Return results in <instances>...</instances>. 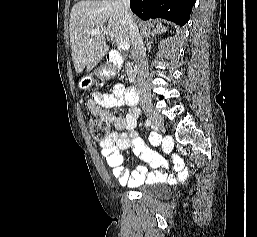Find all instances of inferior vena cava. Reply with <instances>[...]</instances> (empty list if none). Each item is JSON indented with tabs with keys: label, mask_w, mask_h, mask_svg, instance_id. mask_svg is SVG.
<instances>
[{
	"label": "inferior vena cava",
	"mask_w": 257,
	"mask_h": 237,
	"mask_svg": "<svg viewBox=\"0 0 257 237\" xmlns=\"http://www.w3.org/2000/svg\"><path fill=\"white\" fill-rule=\"evenodd\" d=\"M124 13V20L128 25L131 35L132 49L137 59V83L142 104L151 101V94L148 88V65L144 49V43L139 33L138 26L130 12V0H115Z\"/></svg>",
	"instance_id": "1"
}]
</instances>
